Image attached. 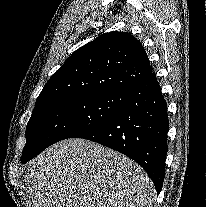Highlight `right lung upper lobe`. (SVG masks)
I'll return each mask as SVG.
<instances>
[{
  "label": "right lung upper lobe",
  "mask_w": 206,
  "mask_h": 207,
  "mask_svg": "<svg viewBox=\"0 0 206 207\" xmlns=\"http://www.w3.org/2000/svg\"><path fill=\"white\" fill-rule=\"evenodd\" d=\"M149 58L131 34H103L73 53L46 83L36 104L65 96L125 94L151 75Z\"/></svg>",
  "instance_id": "obj_1"
}]
</instances>
